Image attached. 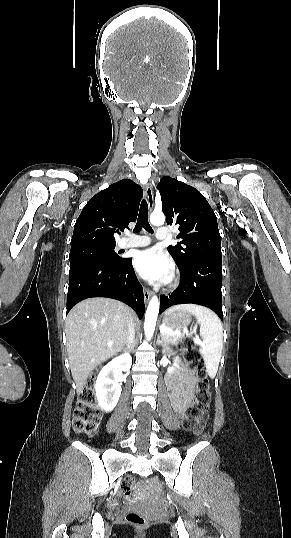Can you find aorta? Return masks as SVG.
Instances as JSON below:
<instances>
[{
	"instance_id": "aorta-1",
	"label": "aorta",
	"mask_w": 291,
	"mask_h": 538,
	"mask_svg": "<svg viewBox=\"0 0 291 538\" xmlns=\"http://www.w3.org/2000/svg\"><path fill=\"white\" fill-rule=\"evenodd\" d=\"M164 221H165V216L162 212H153L150 216V222L153 225H156V226L162 225ZM158 312H159V300L157 296H153L146 310L145 322H144L145 337L148 340H151V338L154 335Z\"/></svg>"
}]
</instances>
